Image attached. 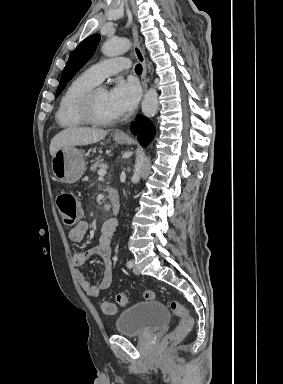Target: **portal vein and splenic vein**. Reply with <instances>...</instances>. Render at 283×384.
I'll list each match as a JSON object with an SVG mask.
<instances>
[{
	"mask_svg": "<svg viewBox=\"0 0 283 384\" xmlns=\"http://www.w3.org/2000/svg\"><path fill=\"white\" fill-rule=\"evenodd\" d=\"M98 174H99L100 178H103V176H105V174H106V170H99Z\"/></svg>",
	"mask_w": 283,
	"mask_h": 384,
	"instance_id": "1",
	"label": "portal vein and splenic vein"
}]
</instances>
